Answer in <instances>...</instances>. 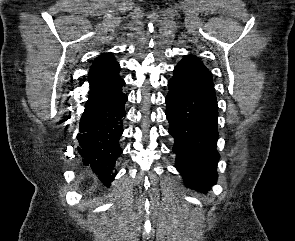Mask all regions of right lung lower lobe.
<instances>
[{
  "mask_svg": "<svg viewBox=\"0 0 295 241\" xmlns=\"http://www.w3.org/2000/svg\"><path fill=\"white\" fill-rule=\"evenodd\" d=\"M125 82L89 92L80 119L77 150L84 165L90 166L100 181L109 187L115 177L114 165L122 150L119 139L123 133Z\"/></svg>",
  "mask_w": 295,
  "mask_h": 241,
  "instance_id": "1",
  "label": "right lung lower lobe"
}]
</instances>
